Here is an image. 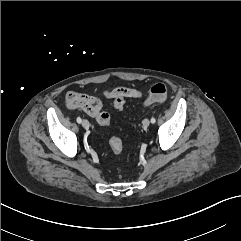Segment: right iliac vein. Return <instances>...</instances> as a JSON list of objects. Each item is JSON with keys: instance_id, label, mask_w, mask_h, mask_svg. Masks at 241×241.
I'll list each match as a JSON object with an SVG mask.
<instances>
[{"instance_id": "right-iliac-vein-1", "label": "right iliac vein", "mask_w": 241, "mask_h": 241, "mask_svg": "<svg viewBox=\"0 0 241 241\" xmlns=\"http://www.w3.org/2000/svg\"><path fill=\"white\" fill-rule=\"evenodd\" d=\"M82 126H83L85 129H88L89 126H90L89 121H88V120H83V121H82Z\"/></svg>"}]
</instances>
